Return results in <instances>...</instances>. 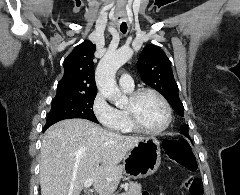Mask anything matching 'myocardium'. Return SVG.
I'll return each instance as SVG.
<instances>
[{
    "label": "myocardium",
    "instance_id": "obj_1",
    "mask_svg": "<svg viewBox=\"0 0 240 195\" xmlns=\"http://www.w3.org/2000/svg\"><path fill=\"white\" fill-rule=\"evenodd\" d=\"M145 94H152L155 97L158 98L160 103L163 106L164 109V121L162 125L158 128L155 129H150L145 127L139 118L138 115V104L140 99L142 98L143 95ZM125 110L127 112L129 121L132 125V127L143 134H148V135H157L166 130L171 122V108L168 103V101L165 99V97L157 90L151 89V88H141L134 92L130 98L128 99L127 104L125 105Z\"/></svg>",
    "mask_w": 240,
    "mask_h": 195
}]
</instances>
